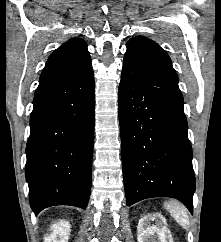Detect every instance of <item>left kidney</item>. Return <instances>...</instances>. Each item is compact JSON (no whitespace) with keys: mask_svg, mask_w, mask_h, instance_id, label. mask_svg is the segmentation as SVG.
<instances>
[{"mask_svg":"<svg viewBox=\"0 0 221 242\" xmlns=\"http://www.w3.org/2000/svg\"><path fill=\"white\" fill-rule=\"evenodd\" d=\"M151 221L155 222V225H151ZM137 240L138 242H173L166 219L159 213L145 215L139 220Z\"/></svg>","mask_w":221,"mask_h":242,"instance_id":"5707ae66","label":"left kidney"}]
</instances>
